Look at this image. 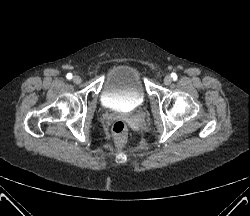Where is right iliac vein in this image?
Segmentation results:
<instances>
[{
    "label": "right iliac vein",
    "mask_w": 250,
    "mask_h": 216,
    "mask_svg": "<svg viewBox=\"0 0 250 216\" xmlns=\"http://www.w3.org/2000/svg\"><path fill=\"white\" fill-rule=\"evenodd\" d=\"M81 77L80 76H78V75H75L74 77H73V82L75 83V84H80L81 83Z\"/></svg>",
    "instance_id": "63e3f726"
}]
</instances>
